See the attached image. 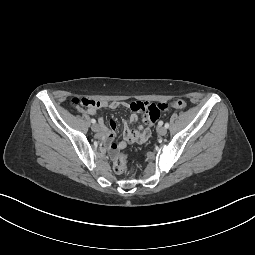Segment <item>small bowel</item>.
I'll return each instance as SVG.
<instances>
[{
	"label": "small bowel",
	"mask_w": 255,
	"mask_h": 255,
	"mask_svg": "<svg viewBox=\"0 0 255 255\" xmlns=\"http://www.w3.org/2000/svg\"><path fill=\"white\" fill-rule=\"evenodd\" d=\"M120 106H127V103L118 102V101H112V102L97 101V105L88 106L87 113L89 115H95L99 108L109 107V108L115 109ZM131 108L134 111H143L145 113L144 121L146 123V126L133 128L126 123L123 127L124 141L118 144L113 143L116 130H117V123L115 122V120L111 119L109 121V126L107 127L103 124V119L102 118L99 119V123L101 127L99 137L104 142L109 144L113 152L125 148L128 144L142 143L146 141L151 134V125L156 120L160 119L162 115L169 113L172 109V106L167 101H164L160 104L134 101L131 103ZM137 120H138L137 114L133 113L130 118V123H136Z\"/></svg>",
	"instance_id": "obj_1"
}]
</instances>
